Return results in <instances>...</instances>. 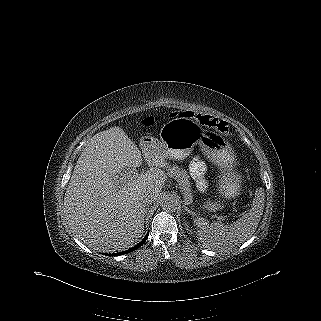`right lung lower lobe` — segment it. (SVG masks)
<instances>
[{
	"instance_id": "98d812e1",
	"label": "right lung lower lobe",
	"mask_w": 321,
	"mask_h": 321,
	"mask_svg": "<svg viewBox=\"0 0 321 321\" xmlns=\"http://www.w3.org/2000/svg\"><path fill=\"white\" fill-rule=\"evenodd\" d=\"M148 235L149 234L147 233L146 236L144 237V239L140 243H138L136 246H134L133 248L128 249V250H126L124 252H119V253H115V254H108V255L109 256H118V255H122V254H126V253H129V252H132V251L136 250L137 248H139L141 245H143V243L147 240Z\"/></svg>"
}]
</instances>
